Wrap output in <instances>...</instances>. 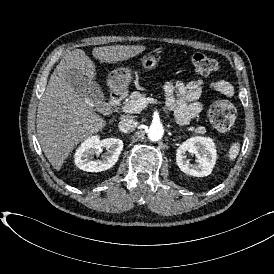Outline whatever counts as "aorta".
Returning a JSON list of instances; mask_svg holds the SVG:
<instances>
[{"label":"aorta","instance_id":"1","mask_svg":"<svg viewBox=\"0 0 274 274\" xmlns=\"http://www.w3.org/2000/svg\"><path fill=\"white\" fill-rule=\"evenodd\" d=\"M164 134V129L161 123L153 122L147 129L148 138L151 141H157L162 138Z\"/></svg>","mask_w":274,"mask_h":274}]
</instances>
